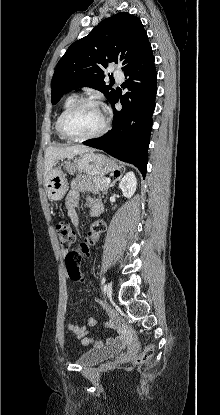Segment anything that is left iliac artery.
I'll use <instances>...</instances> for the list:
<instances>
[{"instance_id": "1", "label": "left iliac artery", "mask_w": 220, "mask_h": 415, "mask_svg": "<svg viewBox=\"0 0 220 415\" xmlns=\"http://www.w3.org/2000/svg\"><path fill=\"white\" fill-rule=\"evenodd\" d=\"M105 280H106V278H105V276H103V277H102V279H101V285H102V286L104 285Z\"/></svg>"}]
</instances>
